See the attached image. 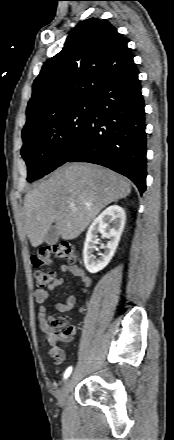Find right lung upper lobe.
<instances>
[{
	"label": "right lung upper lobe",
	"instance_id": "right-lung-upper-lobe-1",
	"mask_svg": "<svg viewBox=\"0 0 174 440\" xmlns=\"http://www.w3.org/2000/svg\"><path fill=\"white\" fill-rule=\"evenodd\" d=\"M133 55L127 42L105 19H86L72 30L62 51L47 60L33 83L23 131L91 98L100 84L123 70Z\"/></svg>",
	"mask_w": 174,
	"mask_h": 440
}]
</instances>
